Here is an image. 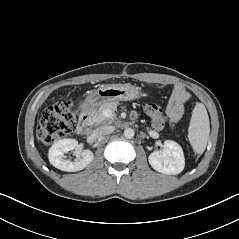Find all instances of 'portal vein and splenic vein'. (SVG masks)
Returning <instances> with one entry per match:
<instances>
[{
    "label": "portal vein and splenic vein",
    "mask_w": 239,
    "mask_h": 239,
    "mask_svg": "<svg viewBox=\"0 0 239 239\" xmlns=\"http://www.w3.org/2000/svg\"><path fill=\"white\" fill-rule=\"evenodd\" d=\"M103 114H104L105 117H110L111 116V111L109 109H107V110L104 111Z\"/></svg>",
    "instance_id": "portal-vein-and-splenic-vein-1"
}]
</instances>
